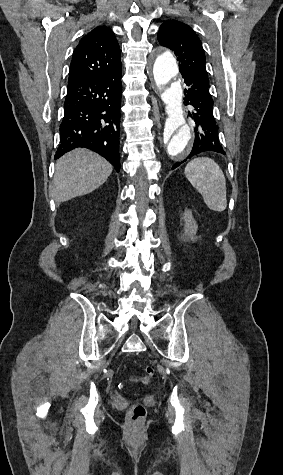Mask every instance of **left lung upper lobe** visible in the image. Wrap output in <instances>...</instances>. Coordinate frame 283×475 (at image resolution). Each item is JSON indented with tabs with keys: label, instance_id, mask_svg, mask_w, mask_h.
Masks as SVG:
<instances>
[{
	"label": "left lung upper lobe",
	"instance_id": "1",
	"mask_svg": "<svg viewBox=\"0 0 283 475\" xmlns=\"http://www.w3.org/2000/svg\"><path fill=\"white\" fill-rule=\"evenodd\" d=\"M158 41L175 52L180 71L189 70L207 75L202 43L190 26L176 20L165 21L158 31Z\"/></svg>",
	"mask_w": 283,
	"mask_h": 475
}]
</instances>
